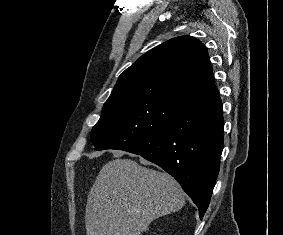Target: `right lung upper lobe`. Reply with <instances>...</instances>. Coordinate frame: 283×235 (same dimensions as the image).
Segmentation results:
<instances>
[{
	"mask_svg": "<svg viewBox=\"0 0 283 235\" xmlns=\"http://www.w3.org/2000/svg\"><path fill=\"white\" fill-rule=\"evenodd\" d=\"M216 90L206 47L192 36L170 39L126 69L105 104L134 98L181 103Z\"/></svg>",
	"mask_w": 283,
	"mask_h": 235,
	"instance_id": "cb5924a9",
	"label": "right lung upper lobe"
}]
</instances>
